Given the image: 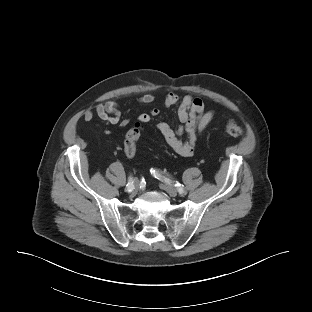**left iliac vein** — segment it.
<instances>
[{
    "label": "left iliac vein",
    "mask_w": 312,
    "mask_h": 312,
    "mask_svg": "<svg viewBox=\"0 0 312 312\" xmlns=\"http://www.w3.org/2000/svg\"><path fill=\"white\" fill-rule=\"evenodd\" d=\"M161 189H163L166 193H168L171 197H175L178 194L177 189L169 184H161L160 185ZM182 194H186V191H184V193Z\"/></svg>",
    "instance_id": "4c4485c4"
}]
</instances>
